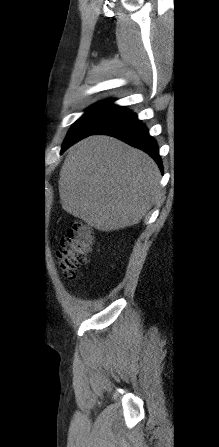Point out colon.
Here are the masks:
<instances>
[{
	"instance_id": "5ec220e1",
	"label": "colon",
	"mask_w": 219,
	"mask_h": 447,
	"mask_svg": "<svg viewBox=\"0 0 219 447\" xmlns=\"http://www.w3.org/2000/svg\"><path fill=\"white\" fill-rule=\"evenodd\" d=\"M93 244V233L90 226L83 222H75L62 238L57 259L60 269L67 279H75L78 270L88 261Z\"/></svg>"
}]
</instances>
